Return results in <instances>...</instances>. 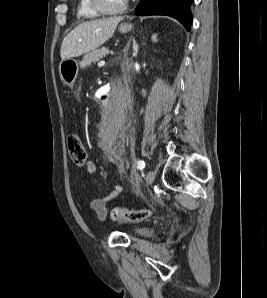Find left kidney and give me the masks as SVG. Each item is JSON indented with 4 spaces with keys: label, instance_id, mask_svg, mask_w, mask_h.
<instances>
[{
    "label": "left kidney",
    "instance_id": "5707ae66",
    "mask_svg": "<svg viewBox=\"0 0 267 298\" xmlns=\"http://www.w3.org/2000/svg\"><path fill=\"white\" fill-rule=\"evenodd\" d=\"M152 39L155 41V39H156V35H154V36L152 37Z\"/></svg>",
    "mask_w": 267,
    "mask_h": 298
}]
</instances>
